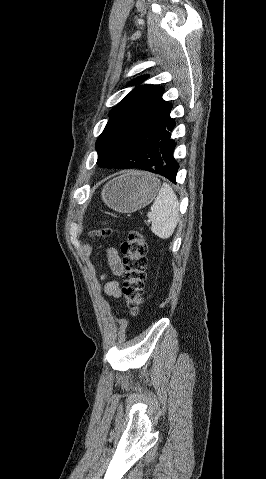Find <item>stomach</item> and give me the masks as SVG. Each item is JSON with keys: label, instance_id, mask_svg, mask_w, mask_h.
<instances>
[{"label": "stomach", "instance_id": "0dacf381", "mask_svg": "<svg viewBox=\"0 0 266 479\" xmlns=\"http://www.w3.org/2000/svg\"><path fill=\"white\" fill-rule=\"evenodd\" d=\"M159 188L160 182L155 176L131 171L109 181L101 196L104 203L113 210L131 213L148 205Z\"/></svg>", "mask_w": 266, "mask_h": 479}]
</instances>
